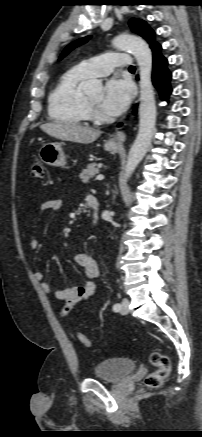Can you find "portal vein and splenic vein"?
<instances>
[{
	"mask_svg": "<svg viewBox=\"0 0 202 437\" xmlns=\"http://www.w3.org/2000/svg\"><path fill=\"white\" fill-rule=\"evenodd\" d=\"M96 179H97V180H103V179H104V176L100 174V175H98V176L96 177Z\"/></svg>",
	"mask_w": 202,
	"mask_h": 437,
	"instance_id": "obj_1",
	"label": "portal vein and splenic vein"
}]
</instances>
